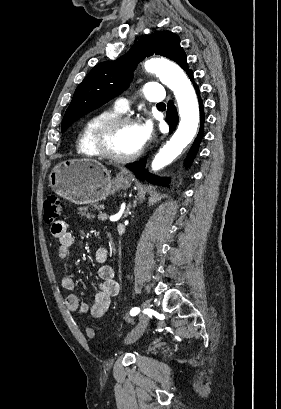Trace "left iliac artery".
Wrapping results in <instances>:
<instances>
[{
	"label": "left iliac artery",
	"instance_id": "left-iliac-artery-1",
	"mask_svg": "<svg viewBox=\"0 0 281 409\" xmlns=\"http://www.w3.org/2000/svg\"><path fill=\"white\" fill-rule=\"evenodd\" d=\"M140 312V308L135 307L130 311L131 316H135Z\"/></svg>",
	"mask_w": 281,
	"mask_h": 409
}]
</instances>
